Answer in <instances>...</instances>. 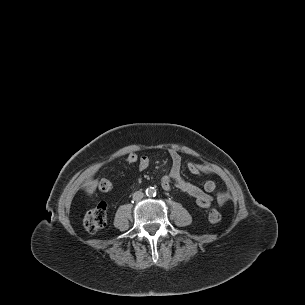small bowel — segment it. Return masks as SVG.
<instances>
[{
  "mask_svg": "<svg viewBox=\"0 0 305 305\" xmlns=\"http://www.w3.org/2000/svg\"><path fill=\"white\" fill-rule=\"evenodd\" d=\"M169 155L171 158V168L170 171L164 175L161 179V186L165 190H169L172 186H175L179 190L187 193L196 200V203L201 208H208L212 201V193L216 189V184L213 180H207L203 187H199L194 183L186 180L181 174L182 168V156L179 151L175 148L169 149ZM150 160L147 156H141L139 161V168L145 170L149 167ZM189 171L192 174L199 175H215L214 170L203 164H199L193 161H189L187 164ZM217 198L220 204L224 203L227 200V195L224 192H219Z\"/></svg>",
  "mask_w": 305,
  "mask_h": 305,
  "instance_id": "1",
  "label": "small bowel"
}]
</instances>
